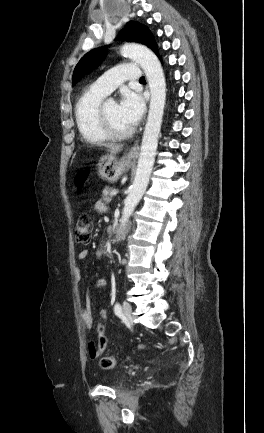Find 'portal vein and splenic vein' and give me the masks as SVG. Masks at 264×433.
<instances>
[{"label": "portal vein and splenic vein", "instance_id": "18ae733b", "mask_svg": "<svg viewBox=\"0 0 264 433\" xmlns=\"http://www.w3.org/2000/svg\"><path fill=\"white\" fill-rule=\"evenodd\" d=\"M117 193H118V191L117 190H113L112 192H111V194L114 196V195H117Z\"/></svg>", "mask_w": 264, "mask_h": 433}]
</instances>
